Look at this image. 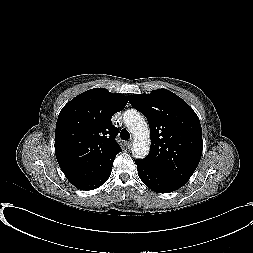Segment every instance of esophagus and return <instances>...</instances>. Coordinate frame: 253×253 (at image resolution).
I'll use <instances>...</instances> for the list:
<instances>
[{"label": "esophagus", "instance_id": "34e87169", "mask_svg": "<svg viewBox=\"0 0 253 253\" xmlns=\"http://www.w3.org/2000/svg\"><path fill=\"white\" fill-rule=\"evenodd\" d=\"M132 143H133L132 140L128 141V142H127V146H128V147H131V146H132Z\"/></svg>", "mask_w": 253, "mask_h": 253}]
</instances>
